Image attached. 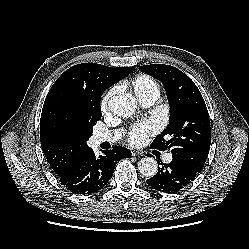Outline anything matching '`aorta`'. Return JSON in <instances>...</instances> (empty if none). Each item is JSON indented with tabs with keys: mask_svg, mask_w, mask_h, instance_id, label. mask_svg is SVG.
Listing matches in <instances>:
<instances>
[{
	"mask_svg": "<svg viewBox=\"0 0 249 249\" xmlns=\"http://www.w3.org/2000/svg\"><path fill=\"white\" fill-rule=\"evenodd\" d=\"M108 106L113 114L128 118L136 111L137 102L131 94H120L112 97ZM138 170L145 177H153L158 172L157 161L152 157L142 158L138 163Z\"/></svg>",
	"mask_w": 249,
	"mask_h": 249,
	"instance_id": "762f6f07",
	"label": "aorta"
}]
</instances>
